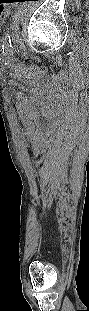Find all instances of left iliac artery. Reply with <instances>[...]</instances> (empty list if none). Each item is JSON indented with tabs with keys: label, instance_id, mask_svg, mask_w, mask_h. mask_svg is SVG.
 Here are the masks:
<instances>
[{
	"label": "left iliac artery",
	"instance_id": "left-iliac-artery-1",
	"mask_svg": "<svg viewBox=\"0 0 89 311\" xmlns=\"http://www.w3.org/2000/svg\"><path fill=\"white\" fill-rule=\"evenodd\" d=\"M3 47L5 48V50H9L10 48H12L11 35L9 34V32L5 34Z\"/></svg>",
	"mask_w": 89,
	"mask_h": 311
}]
</instances>
